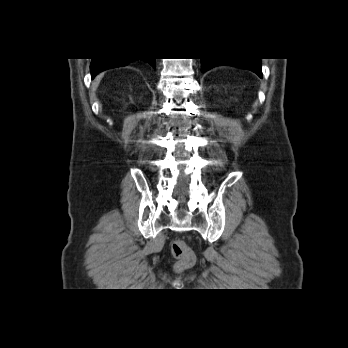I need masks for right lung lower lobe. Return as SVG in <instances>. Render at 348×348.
<instances>
[{
    "mask_svg": "<svg viewBox=\"0 0 348 348\" xmlns=\"http://www.w3.org/2000/svg\"><path fill=\"white\" fill-rule=\"evenodd\" d=\"M134 59H111V58H101V59H92L90 69H91V77L92 79L100 72L110 69V68H115V67H120V66H126L129 63H131ZM144 61H147L153 68L156 67L155 64V58H150V59H143Z\"/></svg>",
    "mask_w": 348,
    "mask_h": 348,
    "instance_id": "right-lung-lower-lobe-1",
    "label": "right lung lower lobe"
}]
</instances>
